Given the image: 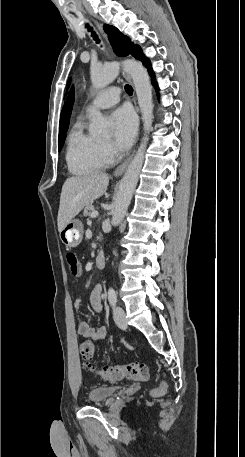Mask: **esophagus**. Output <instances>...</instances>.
Here are the masks:
<instances>
[{"label": "esophagus", "mask_w": 245, "mask_h": 457, "mask_svg": "<svg viewBox=\"0 0 245 457\" xmlns=\"http://www.w3.org/2000/svg\"><path fill=\"white\" fill-rule=\"evenodd\" d=\"M95 23H96V25L98 26V28H99V30L101 31V33L104 34L103 29H102V26H101L98 22H96V21H95ZM104 36H105V38H107L105 34H104ZM122 74H123V76L126 78V80H128L130 83H132L131 77H130L129 73H127L124 69H122ZM134 104H135L136 110L138 111V107H137V105H136L135 99H134ZM133 155H134V152H132V154L130 155V157H128L123 163H121V165H119V167H117V168L115 169L114 175H116V176H117V175H122V174L125 172V170H126L128 164H129V162L131 161V158H132Z\"/></svg>", "instance_id": "1"}]
</instances>
